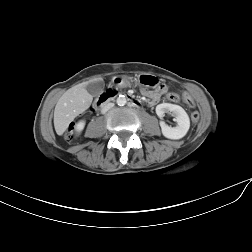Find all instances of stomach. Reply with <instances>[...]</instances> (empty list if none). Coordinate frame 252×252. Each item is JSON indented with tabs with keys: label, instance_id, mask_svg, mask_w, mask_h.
Instances as JSON below:
<instances>
[{
	"label": "stomach",
	"instance_id": "obj_1",
	"mask_svg": "<svg viewBox=\"0 0 252 252\" xmlns=\"http://www.w3.org/2000/svg\"><path fill=\"white\" fill-rule=\"evenodd\" d=\"M127 81L126 77H120V76H115L113 78V82L121 85L124 84ZM138 82L142 85H147V86H153L155 85L154 83V77L150 74H141L138 78Z\"/></svg>",
	"mask_w": 252,
	"mask_h": 252
}]
</instances>
